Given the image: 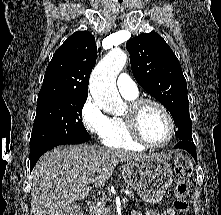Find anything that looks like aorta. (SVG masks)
Returning a JSON list of instances; mask_svg holds the SVG:
<instances>
[{"label": "aorta", "instance_id": "1", "mask_svg": "<svg viewBox=\"0 0 221 215\" xmlns=\"http://www.w3.org/2000/svg\"><path fill=\"white\" fill-rule=\"evenodd\" d=\"M127 61V55L112 49L94 68L90 78V93L95 103L109 114H119L123 101L116 87V78Z\"/></svg>", "mask_w": 221, "mask_h": 215}]
</instances>
